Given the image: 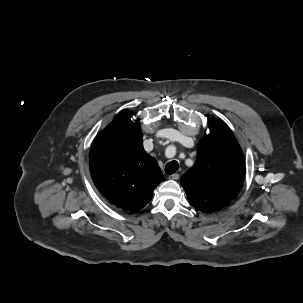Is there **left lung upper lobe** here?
<instances>
[{
	"instance_id": "1",
	"label": "left lung upper lobe",
	"mask_w": 303,
	"mask_h": 303,
	"mask_svg": "<svg viewBox=\"0 0 303 303\" xmlns=\"http://www.w3.org/2000/svg\"><path fill=\"white\" fill-rule=\"evenodd\" d=\"M197 147L196 163L181 178L190 204L216 211L238 193L245 176L242 150L225 125L218 121Z\"/></svg>"
}]
</instances>
